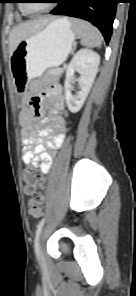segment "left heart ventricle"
Wrapping results in <instances>:
<instances>
[{
    "mask_svg": "<svg viewBox=\"0 0 136 296\" xmlns=\"http://www.w3.org/2000/svg\"><path fill=\"white\" fill-rule=\"evenodd\" d=\"M48 3L46 1H39V0H34L30 5L34 8L40 9L43 8L47 5Z\"/></svg>",
    "mask_w": 136,
    "mask_h": 296,
    "instance_id": "b2bd125f",
    "label": "left heart ventricle"
}]
</instances>
